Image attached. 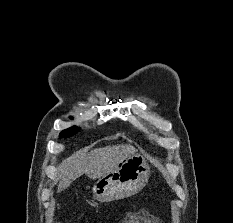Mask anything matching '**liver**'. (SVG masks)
Masks as SVG:
<instances>
[{"mask_svg":"<svg viewBox=\"0 0 233 223\" xmlns=\"http://www.w3.org/2000/svg\"><path fill=\"white\" fill-rule=\"evenodd\" d=\"M134 151H136L135 147L124 145V143L106 145V147H98V149H90V151H87L86 147L79 149L61 161L57 169V175H59L57 191H63L69 187L70 183L83 173L91 179H99L108 171H112L118 161H122L124 157L131 155Z\"/></svg>","mask_w":233,"mask_h":223,"instance_id":"1","label":"liver"}]
</instances>
